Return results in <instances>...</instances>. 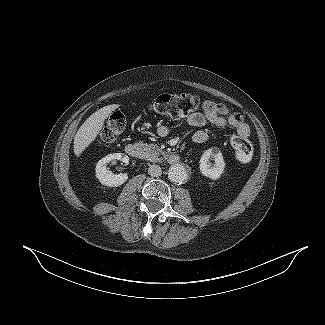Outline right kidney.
Masks as SVG:
<instances>
[{
  "mask_svg": "<svg viewBox=\"0 0 325 325\" xmlns=\"http://www.w3.org/2000/svg\"><path fill=\"white\" fill-rule=\"evenodd\" d=\"M120 160L124 162L126 165L129 163V157L123 153H113L106 155L102 159H100L95 168L96 177L98 178L99 182L108 187H118L125 183L128 179L126 173L120 174H113L111 171L107 170L106 165L107 163L111 162L112 160Z\"/></svg>",
  "mask_w": 325,
  "mask_h": 325,
  "instance_id": "right-kidney-1",
  "label": "right kidney"
}]
</instances>
